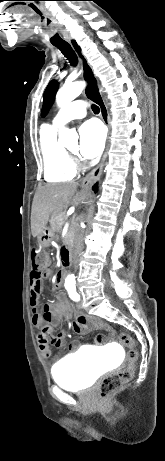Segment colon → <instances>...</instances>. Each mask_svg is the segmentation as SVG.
Listing matches in <instances>:
<instances>
[{"label":"colon","mask_w":165,"mask_h":461,"mask_svg":"<svg viewBox=\"0 0 165 461\" xmlns=\"http://www.w3.org/2000/svg\"><path fill=\"white\" fill-rule=\"evenodd\" d=\"M47 268V256L40 250H34L32 254V270L30 277L35 286H39L41 278L47 272ZM120 342L128 348V364L102 379L99 386V396L102 400L110 398L115 392L120 390L124 384L131 380L138 361V351L135 347L133 338L129 334L121 333Z\"/></svg>","instance_id":"1"}]
</instances>
